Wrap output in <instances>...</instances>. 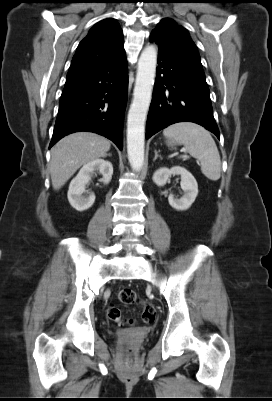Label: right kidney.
I'll use <instances>...</instances> for the list:
<instances>
[{
	"instance_id": "right-kidney-1",
	"label": "right kidney",
	"mask_w": 272,
	"mask_h": 401,
	"mask_svg": "<svg viewBox=\"0 0 272 401\" xmlns=\"http://www.w3.org/2000/svg\"><path fill=\"white\" fill-rule=\"evenodd\" d=\"M95 171H99L102 174L101 182L108 184L113 175L112 163L103 159H95L85 164L71 181L67 196L69 203L77 211L87 210L95 202L94 193L88 192L87 196L83 195L86 192V184L89 183L91 175Z\"/></svg>"
}]
</instances>
